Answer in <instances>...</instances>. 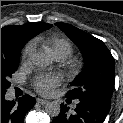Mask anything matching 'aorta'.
<instances>
[{
  "instance_id": "1",
  "label": "aorta",
  "mask_w": 123,
  "mask_h": 123,
  "mask_svg": "<svg viewBox=\"0 0 123 123\" xmlns=\"http://www.w3.org/2000/svg\"><path fill=\"white\" fill-rule=\"evenodd\" d=\"M31 62L41 68L49 66L52 62L49 55L44 52H35L30 56ZM60 104L57 102H49L45 106L46 113L51 117H57L60 113Z\"/></svg>"
}]
</instances>
